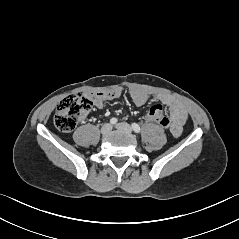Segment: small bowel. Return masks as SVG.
Here are the masks:
<instances>
[{
  "mask_svg": "<svg viewBox=\"0 0 239 239\" xmlns=\"http://www.w3.org/2000/svg\"><path fill=\"white\" fill-rule=\"evenodd\" d=\"M119 90H111V91H103L88 94L87 97L92 99L94 106L97 109H102L104 104L108 100H113L120 97ZM132 101L137 105H144L149 95L139 89H133L130 93ZM155 99L160 102L162 105H165L169 108L170 117L168 120V124L166 126L160 125L170 131V133L178 137L182 133L183 126L187 120V111L184 105L179 102L177 99L173 98L167 94H157L155 95Z\"/></svg>",
  "mask_w": 239,
  "mask_h": 239,
  "instance_id": "c3829d8e",
  "label": "small bowel"
}]
</instances>
